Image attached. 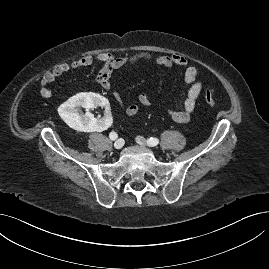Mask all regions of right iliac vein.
<instances>
[{"label":"right iliac vein","instance_id":"obj_1","mask_svg":"<svg viewBox=\"0 0 269 269\" xmlns=\"http://www.w3.org/2000/svg\"><path fill=\"white\" fill-rule=\"evenodd\" d=\"M123 145H124V140L121 139V138L116 140L115 143H114V147L116 149H121L123 147Z\"/></svg>","mask_w":269,"mask_h":269}]
</instances>
